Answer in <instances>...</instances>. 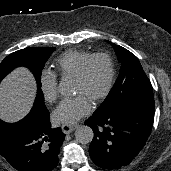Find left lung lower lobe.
<instances>
[{
	"instance_id": "left-lung-lower-lobe-1",
	"label": "left lung lower lobe",
	"mask_w": 171,
	"mask_h": 171,
	"mask_svg": "<svg viewBox=\"0 0 171 171\" xmlns=\"http://www.w3.org/2000/svg\"><path fill=\"white\" fill-rule=\"evenodd\" d=\"M154 107L132 105L115 112L93 115L85 121L94 131L89 147L92 161L101 168L128 165L145 146L151 133Z\"/></svg>"
}]
</instances>
